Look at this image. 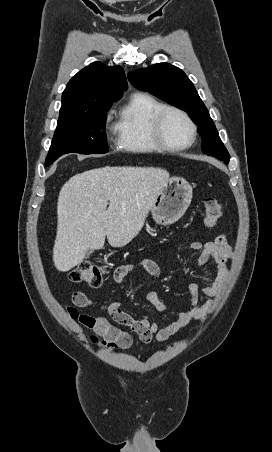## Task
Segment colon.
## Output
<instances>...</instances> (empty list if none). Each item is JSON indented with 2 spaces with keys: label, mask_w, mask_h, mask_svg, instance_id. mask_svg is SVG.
<instances>
[{
  "label": "colon",
  "mask_w": 272,
  "mask_h": 452,
  "mask_svg": "<svg viewBox=\"0 0 272 452\" xmlns=\"http://www.w3.org/2000/svg\"><path fill=\"white\" fill-rule=\"evenodd\" d=\"M223 213L222 204L215 198L209 197L204 202L203 219L206 227H213ZM106 268L102 265L82 262L68 272V279L73 283H85L92 287L102 285Z\"/></svg>",
  "instance_id": "1"
}]
</instances>
